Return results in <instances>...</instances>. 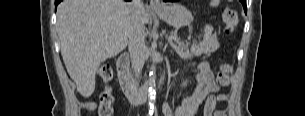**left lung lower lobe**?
Returning a JSON list of instances; mask_svg holds the SVG:
<instances>
[{"instance_id": "1", "label": "left lung lower lobe", "mask_w": 305, "mask_h": 116, "mask_svg": "<svg viewBox=\"0 0 305 116\" xmlns=\"http://www.w3.org/2000/svg\"><path fill=\"white\" fill-rule=\"evenodd\" d=\"M165 2H170V1H172V0H164ZM241 2H242V4H243V7H244V10H245V12H246V10H247V8H246V0H240Z\"/></svg>"}]
</instances>
